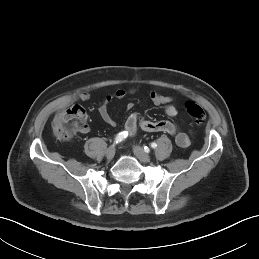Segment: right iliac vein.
<instances>
[{
	"label": "right iliac vein",
	"mask_w": 259,
	"mask_h": 259,
	"mask_svg": "<svg viewBox=\"0 0 259 259\" xmlns=\"http://www.w3.org/2000/svg\"><path fill=\"white\" fill-rule=\"evenodd\" d=\"M115 151H116V148L114 145L110 146L107 150H106V158L108 160H112L114 155H115Z\"/></svg>",
	"instance_id": "right-iliac-vein-1"
}]
</instances>
